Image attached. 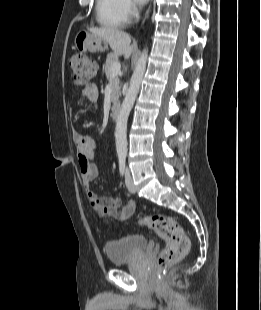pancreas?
<instances>
[{
  "label": "pancreas",
  "instance_id": "cf45deb5",
  "mask_svg": "<svg viewBox=\"0 0 261 310\" xmlns=\"http://www.w3.org/2000/svg\"><path fill=\"white\" fill-rule=\"evenodd\" d=\"M118 62V55L114 53H110L107 55L106 63L104 66V72L106 75V78L111 84L112 87V93H111V100L113 103H117L120 95V86H119V78L117 76H111L110 74V68L113 63Z\"/></svg>",
  "mask_w": 261,
  "mask_h": 310
}]
</instances>
